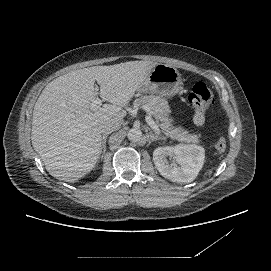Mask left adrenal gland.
I'll use <instances>...</instances> for the list:
<instances>
[{
    "mask_svg": "<svg viewBox=\"0 0 271 271\" xmlns=\"http://www.w3.org/2000/svg\"><path fill=\"white\" fill-rule=\"evenodd\" d=\"M156 140H164V138L150 132V141L153 142Z\"/></svg>",
    "mask_w": 271,
    "mask_h": 271,
    "instance_id": "1",
    "label": "left adrenal gland"
}]
</instances>
